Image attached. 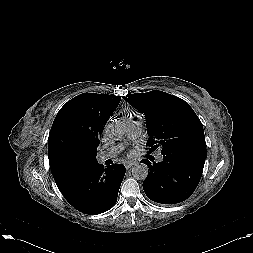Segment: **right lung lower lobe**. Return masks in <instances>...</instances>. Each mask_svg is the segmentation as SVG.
<instances>
[{
	"label": "right lung lower lobe",
	"mask_w": 253,
	"mask_h": 253,
	"mask_svg": "<svg viewBox=\"0 0 253 253\" xmlns=\"http://www.w3.org/2000/svg\"><path fill=\"white\" fill-rule=\"evenodd\" d=\"M125 167L120 164L104 169L97 160L55 180L65 199L84 214H100L116 201Z\"/></svg>",
	"instance_id": "right-lung-lower-lobe-1"
}]
</instances>
